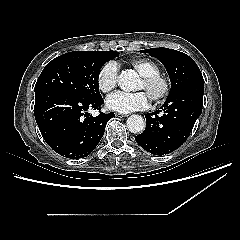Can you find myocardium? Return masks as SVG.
<instances>
[{
  "label": "myocardium",
  "mask_w": 240,
  "mask_h": 240,
  "mask_svg": "<svg viewBox=\"0 0 240 240\" xmlns=\"http://www.w3.org/2000/svg\"><path fill=\"white\" fill-rule=\"evenodd\" d=\"M141 80L148 88L156 87L157 90L152 94L150 99L158 102L166 98L170 91V83L168 80L159 73H152L141 76Z\"/></svg>",
  "instance_id": "f54148a6"
}]
</instances>
